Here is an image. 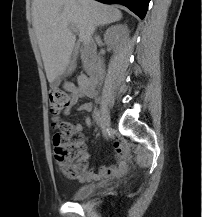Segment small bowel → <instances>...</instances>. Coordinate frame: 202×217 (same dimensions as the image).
Wrapping results in <instances>:
<instances>
[{"mask_svg": "<svg viewBox=\"0 0 202 217\" xmlns=\"http://www.w3.org/2000/svg\"><path fill=\"white\" fill-rule=\"evenodd\" d=\"M81 77L78 78V84L75 85L71 82H66L64 84V88L67 92H69L73 98V103L77 100L80 96H86L91 97L92 94L87 93L84 88L81 86ZM80 111H91L92 110V104L90 102L84 103L79 106ZM69 110L66 111L68 113ZM85 124L87 126L92 125V120L90 117H86ZM71 128L77 131H80L82 129V125L79 123L71 124ZM113 147L115 150V157L117 159V164L115 166L107 167L102 166L99 169V172L96 173L91 170H87L86 161L88 159V154L84 153L83 155V161H84V171L82 176L87 179H99V178H113V177H120L124 174H126L129 171V167L126 164V161L130 159V151L128 148L124 147L123 144L116 140L113 142Z\"/></svg>", "mask_w": 202, "mask_h": 217, "instance_id": "c3829d8e", "label": "small bowel"}]
</instances>
